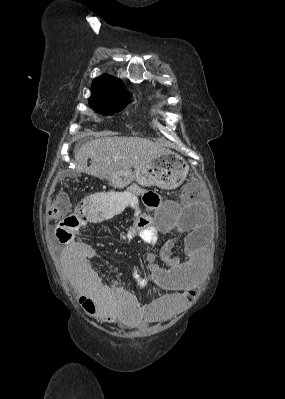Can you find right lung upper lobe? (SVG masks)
Wrapping results in <instances>:
<instances>
[{
    "label": "right lung upper lobe",
    "mask_w": 285,
    "mask_h": 399,
    "mask_svg": "<svg viewBox=\"0 0 285 399\" xmlns=\"http://www.w3.org/2000/svg\"><path fill=\"white\" fill-rule=\"evenodd\" d=\"M126 96L123 83L112 76L104 74L92 83V96L89 100H113Z\"/></svg>",
    "instance_id": "right-lung-upper-lobe-1"
}]
</instances>
